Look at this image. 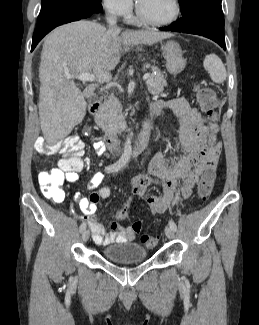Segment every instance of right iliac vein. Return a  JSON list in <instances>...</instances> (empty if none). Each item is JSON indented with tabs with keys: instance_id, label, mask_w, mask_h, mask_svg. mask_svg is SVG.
<instances>
[{
	"instance_id": "obj_1",
	"label": "right iliac vein",
	"mask_w": 259,
	"mask_h": 325,
	"mask_svg": "<svg viewBox=\"0 0 259 325\" xmlns=\"http://www.w3.org/2000/svg\"><path fill=\"white\" fill-rule=\"evenodd\" d=\"M90 233L89 230H84L82 233V240L83 242H87L89 239Z\"/></svg>"
}]
</instances>
